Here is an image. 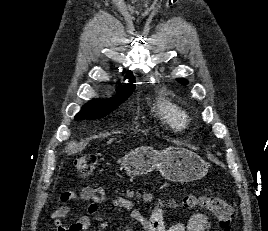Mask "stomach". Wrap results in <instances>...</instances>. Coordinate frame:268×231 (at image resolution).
I'll return each mask as SVG.
<instances>
[{"label": "stomach", "instance_id": "obj_1", "mask_svg": "<svg viewBox=\"0 0 268 231\" xmlns=\"http://www.w3.org/2000/svg\"><path fill=\"white\" fill-rule=\"evenodd\" d=\"M121 165L134 176L146 175L157 168L165 179L180 183L203 178L209 168L198 154L179 146H170L162 151L140 146L127 152Z\"/></svg>", "mask_w": 268, "mask_h": 231}]
</instances>
